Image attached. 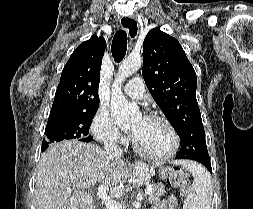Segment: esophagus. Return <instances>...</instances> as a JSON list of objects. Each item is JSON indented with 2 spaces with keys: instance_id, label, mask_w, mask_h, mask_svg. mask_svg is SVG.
<instances>
[{
  "instance_id": "obj_1",
  "label": "esophagus",
  "mask_w": 253,
  "mask_h": 209,
  "mask_svg": "<svg viewBox=\"0 0 253 209\" xmlns=\"http://www.w3.org/2000/svg\"><path fill=\"white\" fill-rule=\"evenodd\" d=\"M120 22H121V25L128 30L130 39H134V38L137 37V34H138V24H137L135 16H133V15L132 16H123V17H121ZM127 25H131L132 26L133 31L131 33H130V30L127 27Z\"/></svg>"
}]
</instances>
